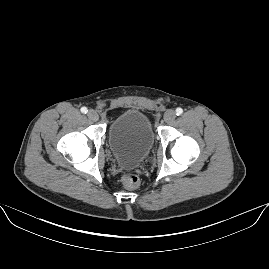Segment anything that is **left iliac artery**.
Here are the masks:
<instances>
[{
  "instance_id": "1",
  "label": "left iliac artery",
  "mask_w": 269,
  "mask_h": 269,
  "mask_svg": "<svg viewBox=\"0 0 269 269\" xmlns=\"http://www.w3.org/2000/svg\"><path fill=\"white\" fill-rule=\"evenodd\" d=\"M183 113V110H182V108H177L176 109V115H181Z\"/></svg>"
}]
</instances>
